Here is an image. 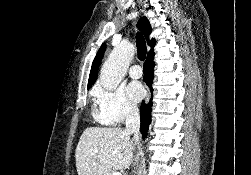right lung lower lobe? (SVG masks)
Returning <instances> with one entry per match:
<instances>
[{"mask_svg":"<svg viewBox=\"0 0 251 175\" xmlns=\"http://www.w3.org/2000/svg\"><path fill=\"white\" fill-rule=\"evenodd\" d=\"M155 63L153 60H146L144 63V82L150 87L151 92L152 89V82H153V70H154ZM151 106H152V100L145 105L144 101L142 102L141 109H140V118H141V133L143 137L146 136L148 126L150 123V117H151Z\"/></svg>","mask_w":251,"mask_h":175,"instance_id":"right-lung-lower-lobe-1","label":"right lung lower lobe"}]
</instances>
